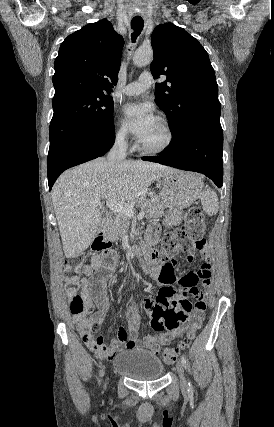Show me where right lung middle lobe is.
<instances>
[{
  "instance_id": "dd1d6c3e",
  "label": "right lung middle lobe",
  "mask_w": 274,
  "mask_h": 427,
  "mask_svg": "<svg viewBox=\"0 0 274 427\" xmlns=\"http://www.w3.org/2000/svg\"><path fill=\"white\" fill-rule=\"evenodd\" d=\"M50 142L62 131L113 124V100L103 93L67 94L53 102Z\"/></svg>"
}]
</instances>
